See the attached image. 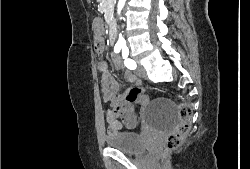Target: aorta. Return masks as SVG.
I'll list each match as a JSON object with an SVG mask.
<instances>
[{"label": "aorta", "instance_id": "1", "mask_svg": "<svg viewBox=\"0 0 250 169\" xmlns=\"http://www.w3.org/2000/svg\"><path fill=\"white\" fill-rule=\"evenodd\" d=\"M126 0H118V4H117V12L118 14H120L122 8H124V4H125ZM120 38H122L121 34H120ZM123 42H124V38H122Z\"/></svg>", "mask_w": 250, "mask_h": 169}]
</instances>
